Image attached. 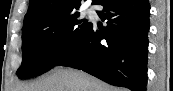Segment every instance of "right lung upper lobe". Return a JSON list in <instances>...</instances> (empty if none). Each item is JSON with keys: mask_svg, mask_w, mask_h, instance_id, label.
Returning a JSON list of instances; mask_svg holds the SVG:
<instances>
[{"mask_svg": "<svg viewBox=\"0 0 173 91\" xmlns=\"http://www.w3.org/2000/svg\"><path fill=\"white\" fill-rule=\"evenodd\" d=\"M96 2L93 0V4ZM80 5L79 0H30L23 28L73 14Z\"/></svg>", "mask_w": 173, "mask_h": 91, "instance_id": "1", "label": "right lung upper lobe"}]
</instances>
